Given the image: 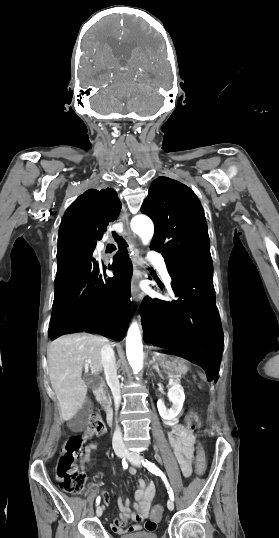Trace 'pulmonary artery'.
<instances>
[{"mask_svg": "<svg viewBox=\"0 0 279 538\" xmlns=\"http://www.w3.org/2000/svg\"><path fill=\"white\" fill-rule=\"evenodd\" d=\"M157 270L160 272V271H161V268H160V267H157Z\"/></svg>", "mask_w": 279, "mask_h": 538, "instance_id": "pulmonary-artery-1", "label": "pulmonary artery"}]
</instances>
